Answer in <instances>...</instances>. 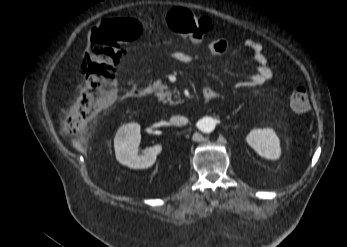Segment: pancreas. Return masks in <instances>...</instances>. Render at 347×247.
I'll list each match as a JSON object with an SVG mask.
<instances>
[{
  "label": "pancreas",
  "mask_w": 347,
  "mask_h": 247,
  "mask_svg": "<svg viewBox=\"0 0 347 247\" xmlns=\"http://www.w3.org/2000/svg\"><path fill=\"white\" fill-rule=\"evenodd\" d=\"M153 90L155 91L157 97L164 103L169 102L173 103L171 97L172 92L168 90V86L162 84L160 81L154 82L152 85Z\"/></svg>",
  "instance_id": "cf45deb5"
}]
</instances>
